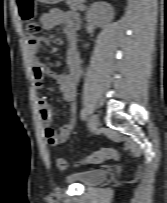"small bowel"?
<instances>
[{"mask_svg":"<svg viewBox=\"0 0 167 203\" xmlns=\"http://www.w3.org/2000/svg\"><path fill=\"white\" fill-rule=\"evenodd\" d=\"M41 23L45 30L62 27L68 40L66 52L67 72L60 75H54L50 68L38 57L41 44L46 43L48 40L40 36L28 38L26 41L32 64L35 88L37 90L43 89L44 80L47 77H53L57 80L64 100L71 105V111L67 120L58 130H55L50 126L54 114L53 109L46 99L38 98V110L43 124V136L50 146H57L67 141L77 122L74 104L77 96V85L83 69V63L77 49L80 17L74 12L53 9L41 18Z\"/></svg>","mask_w":167,"mask_h":203,"instance_id":"c3829d8e","label":"small bowel"}]
</instances>
